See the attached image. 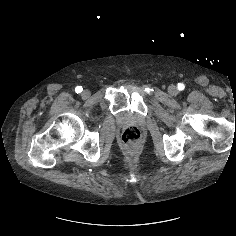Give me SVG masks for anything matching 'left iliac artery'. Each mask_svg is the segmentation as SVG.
I'll list each match as a JSON object with an SVG mask.
<instances>
[{"instance_id":"left-iliac-artery-1","label":"left iliac artery","mask_w":236,"mask_h":236,"mask_svg":"<svg viewBox=\"0 0 236 236\" xmlns=\"http://www.w3.org/2000/svg\"><path fill=\"white\" fill-rule=\"evenodd\" d=\"M177 88H178V90L182 91L185 89V85L183 83H179Z\"/></svg>"}]
</instances>
